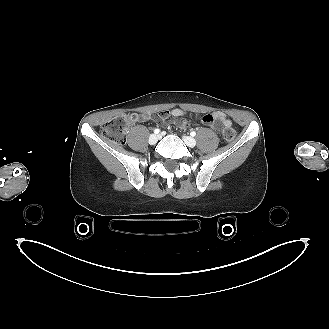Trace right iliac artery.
<instances>
[{"mask_svg":"<svg viewBox=\"0 0 329 329\" xmlns=\"http://www.w3.org/2000/svg\"><path fill=\"white\" fill-rule=\"evenodd\" d=\"M159 132H160L159 129H155V130H154V133H155V134H158Z\"/></svg>","mask_w":329,"mask_h":329,"instance_id":"right-iliac-artery-1","label":"right iliac artery"}]
</instances>
